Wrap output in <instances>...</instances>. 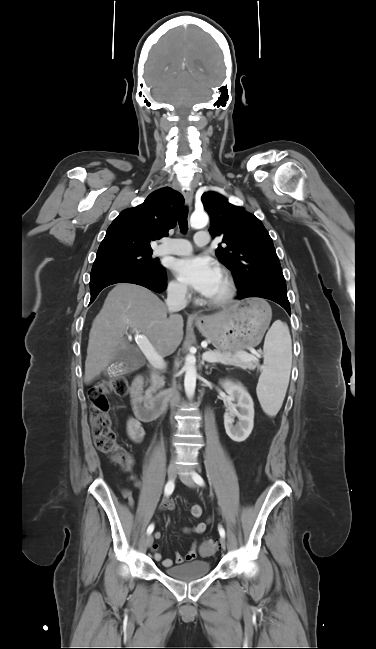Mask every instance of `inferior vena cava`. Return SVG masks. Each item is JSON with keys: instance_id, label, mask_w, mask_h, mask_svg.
Instances as JSON below:
<instances>
[{"instance_id": "obj_1", "label": "inferior vena cava", "mask_w": 376, "mask_h": 649, "mask_svg": "<svg viewBox=\"0 0 376 649\" xmlns=\"http://www.w3.org/2000/svg\"><path fill=\"white\" fill-rule=\"evenodd\" d=\"M186 293L187 287L183 284L170 286L168 288L166 305L170 312H178L186 307ZM168 395L171 397L173 405L179 401V395L175 390L168 391Z\"/></svg>"}]
</instances>
